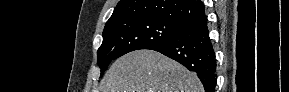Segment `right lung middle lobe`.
Returning a JSON list of instances; mask_svg holds the SVG:
<instances>
[{
    "mask_svg": "<svg viewBox=\"0 0 289 92\" xmlns=\"http://www.w3.org/2000/svg\"><path fill=\"white\" fill-rule=\"evenodd\" d=\"M184 28L185 24L179 22L150 17L125 19L106 26L97 52L101 76L113 59L168 41Z\"/></svg>",
    "mask_w": 289,
    "mask_h": 92,
    "instance_id": "1",
    "label": "right lung middle lobe"
}]
</instances>
